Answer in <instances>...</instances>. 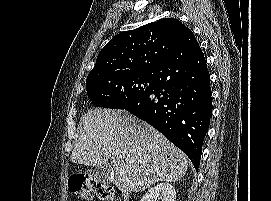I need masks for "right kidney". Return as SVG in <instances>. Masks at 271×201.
Segmentation results:
<instances>
[{"label": "right kidney", "instance_id": "obj_1", "mask_svg": "<svg viewBox=\"0 0 271 201\" xmlns=\"http://www.w3.org/2000/svg\"><path fill=\"white\" fill-rule=\"evenodd\" d=\"M176 191L175 188L169 183H160L150 188L141 201H175Z\"/></svg>", "mask_w": 271, "mask_h": 201}]
</instances>
